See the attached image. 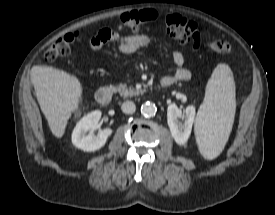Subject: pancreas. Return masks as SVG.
Returning <instances> with one entry per match:
<instances>
[{
    "label": "pancreas",
    "mask_w": 275,
    "mask_h": 215,
    "mask_svg": "<svg viewBox=\"0 0 275 215\" xmlns=\"http://www.w3.org/2000/svg\"><path fill=\"white\" fill-rule=\"evenodd\" d=\"M116 91L119 92V94L122 97H132V96H136L139 95L140 93L143 92V90H139V89H135L133 87H128L126 84H119L116 88Z\"/></svg>",
    "instance_id": "cf45deb5"
}]
</instances>
